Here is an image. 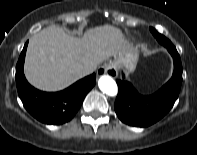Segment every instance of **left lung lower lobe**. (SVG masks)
I'll list each match as a JSON object with an SVG mask.
<instances>
[{"instance_id":"0a47b994","label":"left lung lower lobe","mask_w":197,"mask_h":155,"mask_svg":"<svg viewBox=\"0 0 197 155\" xmlns=\"http://www.w3.org/2000/svg\"><path fill=\"white\" fill-rule=\"evenodd\" d=\"M166 48L173 57L174 72L171 79L156 93L143 96L130 82L117 80L118 95L114 109L123 123L147 127L160 120L173 107L182 83V64L174 45Z\"/></svg>"}]
</instances>
